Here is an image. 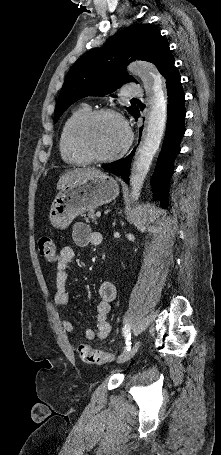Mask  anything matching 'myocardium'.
Returning <instances> with one entry per match:
<instances>
[{
    "mask_svg": "<svg viewBox=\"0 0 221 455\" xmlns=\"http://www.w3.org/2000/svg\"><path fill=\"white\" fill-rule=\"evenodd\" d=\"M104 116H112L120 120L122 123L125 133L126 139L123 146L113 154L107 156H98L94 154L88 146L87 143V135L88 130L91 125L101 117ZM75 140L76 145L80 152L87 157L90 162L95 163H106L114 161L120 157H122L131 147L133 141V133L128 121L124 118V116L119 113L117 110L112 108H100L93 111H90L87 115H85L82 120L79 122L76 132H75Z\"/></svg>",
    "mask_w": 221,
    "mask_h": 455,
    "instance_id": "f54148a6",
    "label": "myocardium"
}]
</instances>
